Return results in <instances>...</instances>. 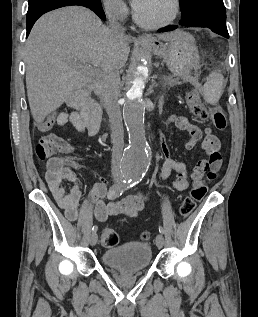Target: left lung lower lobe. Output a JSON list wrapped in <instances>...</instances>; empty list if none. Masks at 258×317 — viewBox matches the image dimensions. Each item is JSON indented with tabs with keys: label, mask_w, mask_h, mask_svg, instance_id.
<instances>
[{
	"label": "left lung lower lobe",
	"mask_w": 258,
	"mask_h": 317,
	"mask_svg": "<svg viewBox=\"0 0 258 317\" xmlns=\"http://www.w3.org/2000/svg\"><path fill=\"white\" fill-rule=\"evenodd\" d=\"M182 26L186 27H207L213 32L229 38L226 27V12L223 6L218 3H204L198 12L189 22H181ZM178 26H168L161 29L160 32H167L175 30Z\"/></svg>",
	"instance_id": "0a47b994"
}]
</instances>
